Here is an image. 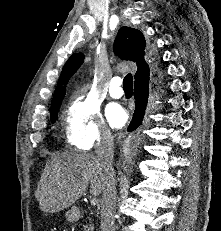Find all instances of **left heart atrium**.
I'll return each instance as SVG.
<instances>
[{"instance_id":"39dd6f15","label":"left heart atrium","mask_w":221,"mask_h":231,"mask_svg":"<svg viewBox=\"0 0 221 231\" xmlns=\"http://www.w3.org/2000/svg\"><path fill=\"white\" fill-rule=\"evenodd\" d=\"M107 120L114 128L122 127L127 121L126 111L117 104H111L106 110Z\"/></svg>"}]
</instances>
